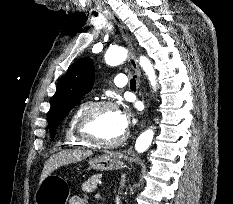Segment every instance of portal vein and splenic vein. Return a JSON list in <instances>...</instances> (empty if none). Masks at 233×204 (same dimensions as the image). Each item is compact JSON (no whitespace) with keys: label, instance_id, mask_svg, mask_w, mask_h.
<instances>
[{"label":"portal vein and splenic vein","instance_id":"1","mask_svg":"<svg viewBox=\"0 0 233 204\" xmlns=\"http://www.w3.org/2000/svg\"><path fill=\"white\" fill-rule=\"evenodd\" d=\"M99 197V195L97 194V195H95V198H98Z\"/></svg>","mask_w":233,"mask_h":204}]
</instances>
